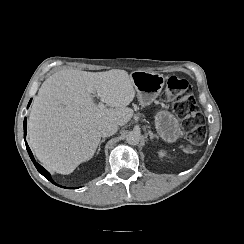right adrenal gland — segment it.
Segmentation results:
<instances>
[{
  "label": "right adrenal gland",
  "instance_id": "obj_1",
  "mask_svg": "<svg viewBox=\"0 0 244 244\" xmlns=\"http://www.w3.org/2000/svg\"><path fill=\"white\" fill-rule=\"evenodd\" d=\"M103 142H105V137H104V136H102V140L99 142V146H98L97 154L100 152V150H101V144H102Z\"/></svg>",
  "mask_w": 244,
  "mask_h": 244
}]
</instances>
